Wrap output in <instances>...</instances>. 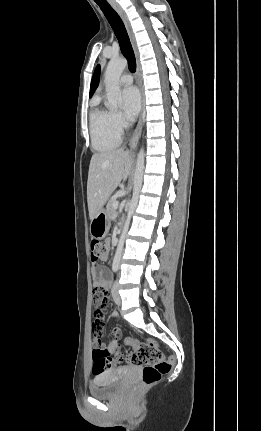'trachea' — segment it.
<instances>
[{
    "mask_svg": "<svg viewBox=\"0 0 261 431\" xmlns=\"http://www.w3.org/2000/svg\"><path fill=\"white\" fill-rule=\"evenodd\" d=\"M98 5L110 23L118 39L120 49L128 61L129 70L131 72H135L136 59L124 23L122 22L120 16L108 3H98Z\"/></svg>",
    "mask_w": 261,
    "mask_h": 431,
    "instance_id": "trachea-1",
    "label": "trachea"
}]
</instances>
